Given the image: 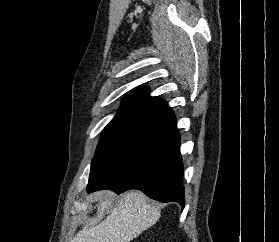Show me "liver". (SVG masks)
Returning a JSON list of instances; mask_svg holds the SVG:
<instances>
[{"label":"liver","instance_id":"obj_1","mask_svg":"<svg viewBox=\"0 0 279 242\" xmlns=\"http://www.w3.org/2000/svg\"><path fill=\"white\" fill-rule=\"evenodd\" d=\"M97 215L80 230L72 242H130L160 218V209L139 191L123 195L105 217L113 203L111 191L97 194Z\"/></svg>","mask_w":279,"mask_h":242}]
</instances>
